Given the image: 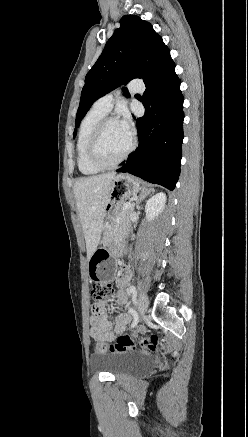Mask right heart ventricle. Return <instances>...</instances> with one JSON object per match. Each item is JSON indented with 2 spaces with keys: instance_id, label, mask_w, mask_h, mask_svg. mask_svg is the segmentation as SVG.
I'll use <instances>...</instances> for the list:
<instances>
[{
  "instance_id": "1",
  "label": "right heart ventricle",
  "mask_w": 248,
  "mask_h": 437,
  "mask_svg": "<svg viewBox=\"0 0 248 437\" xmlns=\"http://www.w3.org/2000/svg\"><path fill=\"white\" fill-rule=\"evenodd\" d=\"M105 116L106 113L92 107L80 123L76 141V152L78 169L84 175H94L101 170L90 162L88 157V144L95 127Z\"/></svg>"
}]
</instances>
